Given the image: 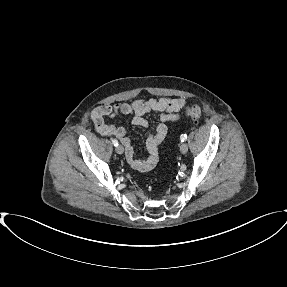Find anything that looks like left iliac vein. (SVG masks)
<instances>
[{
  "mask_svg": "<svg viewBox=\"0 0 287 287\" xmlns=\"http://www.w3.org/2000/svg\"><path fill=\"white\" fill-rule=\"evenodd\" d=\"M180 151H181V153H183V154L187 153V151H188V146H187L186 143H182V144L180 145Z\"/></svg>",
  "mask_w": 287,
  "mask_h": 287,
  "instance_id": "left-iliac-vein-1",
  "label": "left iliac vein"
}]
</instances>
